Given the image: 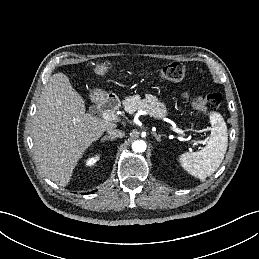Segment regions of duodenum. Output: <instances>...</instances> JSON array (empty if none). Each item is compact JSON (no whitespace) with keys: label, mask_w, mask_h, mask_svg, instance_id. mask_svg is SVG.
Here are the masks:
<instances>
[{"label":"duodenum","mask_w":259,"mask_h":259,"mask_svg":"<svg viewBox=\"0 0 259 259\" xmlns=\"http://www.w3.org/2000/svg\"><path fill=\"white\" fill-rule=\"evenodd\" d=\"M117 105L118 100L114 95H108L98 102L99 108L105 111H112L117 107Z\"/></svg>","instance_id":"1"}]
</instances>
